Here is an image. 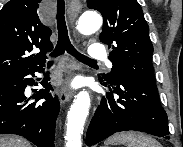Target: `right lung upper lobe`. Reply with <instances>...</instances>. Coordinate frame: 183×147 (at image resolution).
Returning a JSON list of instances; mask_svg holds the SVG:
<instances>
[{
	"label": "right lung upper lobe",
	"instance_id": "obj_1",
	"mask_svg": "<svg viewBox=\"0 0 183 147\" xmlns=\"http://www.w3.org/2000/svg\"><path fill=\"white\" fill-rule=\"evenodd\" d=\"M41 0H10L0 11V79L45 65L52 31L41 23ZM39 48L38 54H31Z\"/></svg>",
	"mask_w": 183,
	"mask_h": 147
}]
</instances>
